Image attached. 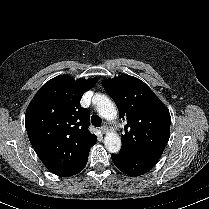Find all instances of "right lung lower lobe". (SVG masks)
Masks as SVG:
<instances>
[{"label":"right lung lower lobe","instance_id":"obj_1","mask_svg":"<svg viewBox=\"0 0 209 209\" xmlns=\"http://www.w3.org/2000/svg\"><path fill=\"white\" fill-rule=\"evenodd\" d=\"M88 160V154L82 159V161L73 169L71 170L65 177H69L79 173L83 168L86 166Z\"/></svg>","mask_w":209,"mask_h":209}]
</instances>
